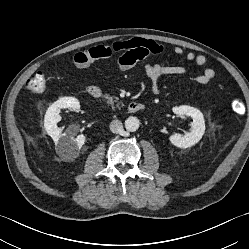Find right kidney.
Here are the masks:
<instances>
[{"label":"right kidney","mask_w":249,"mask_h":249,"mask_svg":"<svg viewBox=\"0 0 249 249\" xmlns=\"http://www.w3.org/2000/svg\"><path fill=\"white\" fill-rule=\"evenodd\" d=\"M63 108L76 110L80 108V103L74 97H63L57 100L46 111L44 127L55 142L57 154L62 159L71 161L77 157L86 138L83 134L75 137V131L71 129L62 133V129L57 126V123L61 120L59 112Z\"/></svg>","instance_id":"1"}]
</instances>
